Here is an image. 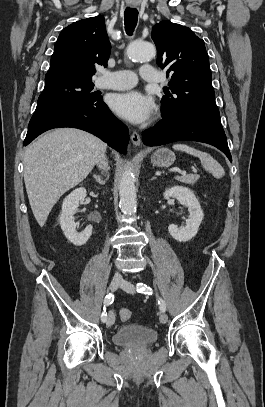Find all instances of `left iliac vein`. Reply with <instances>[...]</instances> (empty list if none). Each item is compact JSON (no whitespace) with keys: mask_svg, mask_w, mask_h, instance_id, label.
<instances>
[{"mask_svg":"<svg viewBox=\"0 0 265 407\" xmlns=\"http://www.w3.org/2000/svg\"><path fill=\"white\" fill-rule=\"evenodd\" d=\"M121 288H122L123 290H125L126 292L130 293V294H134V293H135V287H134V285H133L131 282L127 281V280H123V281H122V283H121ZM159 320H160V322H161L162 324H165V323L168 321V316H167V314L161 313V314H160V317H159Z\"/></svg>","mask_w":265,"mask_h":407,"instance_id":"4c4485c4","label":"left iliac vein"}]
</instances>
